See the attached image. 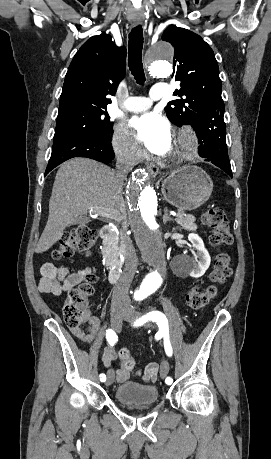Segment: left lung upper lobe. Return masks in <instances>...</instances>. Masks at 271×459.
<instances>
[{
	"mask_svg": "<svg viewBox=\"0 0 271 459\" xmlns=\"http://www.w3.org/2000/svg\"><path fill=\"white\" fill-rule=\"evenodd\" d=\"M162 40L175 49L173 76L181 82L174 92L181 99L170 101L165 108L169 120L177 126L190 124L196 130L223 118L219 67L210 46L199 35L175 25L164 31Z\"/></svg>",
	"mask_w": 271,
	"mask_h": 459,
	"instance_id": "5c2ea615",
	"label": "left lung upper lobe"
}]
</instances>
